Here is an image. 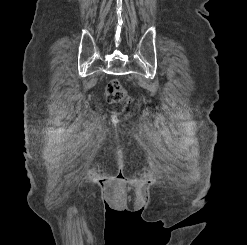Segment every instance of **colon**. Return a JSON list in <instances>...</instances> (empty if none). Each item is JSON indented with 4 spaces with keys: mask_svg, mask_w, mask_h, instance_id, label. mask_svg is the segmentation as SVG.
I'll return each mask as SVG.
<instances>
[{
    "mask_svg": "<svg viewBox=\"0 0 247 245\" xmlns=\"http://www.w3.org/2000/svg\"><path fill=\"white\" fill-rule=\"evenodd\" d=\"M106 98L109 103H121L126 100V92L117 79L107 84Z\"/></svg>",
    "mask_w": 247,
    "mask_h": 245,
    "instance_id": "1",
    "label": "colon"
}]
</instances>
